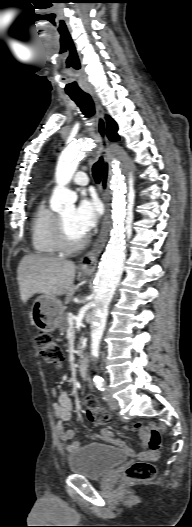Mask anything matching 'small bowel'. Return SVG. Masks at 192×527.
Wrapping results in <instances>:
<instances>
[{
  "label": "small bowel",
  "instance_id": "c3829d8e",
  "mask_svg": "<svg viewBox=\"0 0 192 527\" xmlns=\"http://www.w3.org/2000/svg\"><path fill=\"white\" fill-rule=\"evenodd\" d=\"M52 394L54 396H57V402L53 404V410L57 418L56 433L62 442L68 443L67 450L69 452H72L76 450L77 448H79L81 445V443L78 440H73L75 431L72 429H65L64 424H63L65 421H69L72 418V415H73L72 400L67 392H60L57 395L56 391L53 389ZM133 430L135 432H140V435L142 438H145L146 434L148 433V430L146 428L142 429V425L140 423H135L133 425ZM100 437L105 442H111V443H114L118 446L125 448L128 452L131 453V457H134L133 449L123 440H114L112 438V431L109 428L103 427L100 430ZM155 455H156V451H153L151 449L145 450L139 454L138 461L142 465H145L147 463L154 464L156 462Z\"/></svg>",
  "mask_w": 192,
  "mask_h": 527
}]
</instances>
